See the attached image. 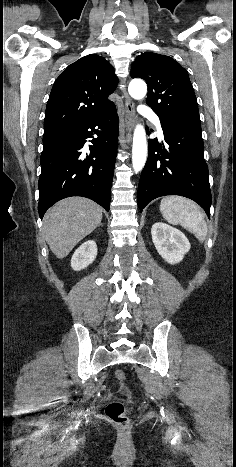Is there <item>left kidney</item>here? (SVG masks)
<instances>
[{
	"label": "left kidney",
	"instance_id": "5707ae66",
	"mask_svg": "<svg viewBox=\"0 0 236 467\" xmlns=\"http://www.w3.org/2000/svg\"><path fill=\"white\" fill-rule=\"evenodd\" d=\"M151 235L157 252L169 264L179 263L190 250L187 237L168 224L155 223L152 226Z\"/></svg>",
	"mask_w": 236,
	"mask_h": 467
}]
</instances>
